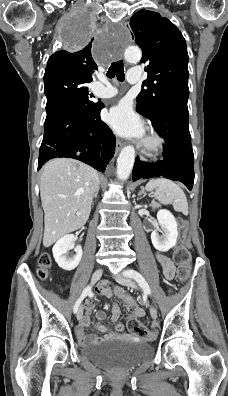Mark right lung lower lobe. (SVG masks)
<instances>
[{"label":"right lung lower lobe","mask_w":228,"mask_h":396,"mask_svg":"<svg viewBox=\"0 0 228 396\" xmlns=\"http://www.w3.org/2000/svg\"><path fill=\"white\" fill-rule=\"evenodd\" d=\"M103 107L98 102L88 111L71 108L46 117L38 170L52 158L67 157L104 172L114 155L116 139L100 118Z\"/></svg>","instance_id":"1"}]
</instances>
